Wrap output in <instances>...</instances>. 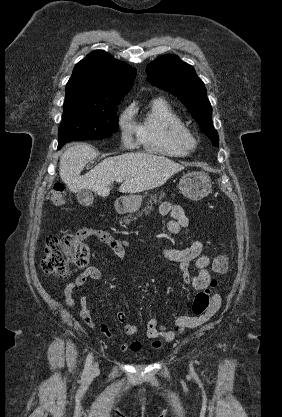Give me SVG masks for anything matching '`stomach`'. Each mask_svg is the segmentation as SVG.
Listing matches in <instances>:
<instances>
[{"mask_svg":"<svg viewBox=\"0 0 282 417\" xmlns=\"http://www.w3.org/2000/svg\"><path fill=\"white\" fill-rule=\"evenodd\" d=\"M178 186L180 192L187 198L201 200L211 192L212 182L207 172L193 170V172H187L181 176ZM122 202L129 213H135L140 209L142 196L141 194H126V196H122Z\"/></svg>","mask_w":282,"mask_h":417,"instance_id":"stomach-1","label":"stomach"}]
</instances>
